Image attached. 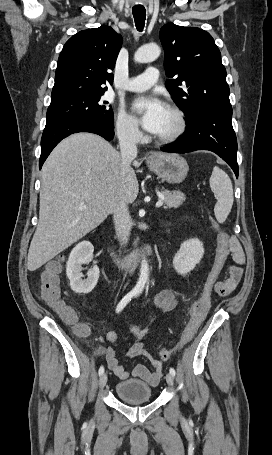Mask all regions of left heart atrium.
Wrapping results in <instances>:
<instances>
[{
  "label": "left heart atrium",
  "mask_w": 272,
  "mask_h": 455,
  "mask_svg": "<svg viewBox=\"0 0 272 455\" xmlns=\"http://www.w3.org/2000/svg\"><path fill=\"white\" fill-rule=\"evenodd\" d=\"M134 112L140 115L139 122L150 133L160 130L167 107L153 95L137 97L132 103Z\"/></svg>",
  "instance_id": "39dd6f15"
}]
</instances>
